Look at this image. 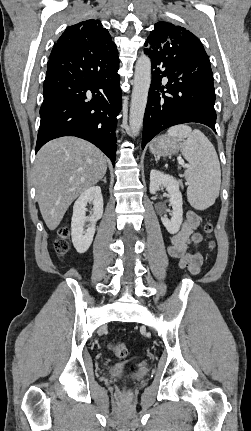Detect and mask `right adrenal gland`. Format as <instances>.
<instances>
[{
	"instance_id": "2a0ac1e0",
	"label": "right adrenal gland",
	"mask_w": 251,
	"mask_h": 431,
	"mask_svg": "<svg viewBox=\"0 0 251 431\" xmlns=\"http://www.w3.org/2000/svg\"><path fill=\"white\" fill-rule=\"evenodd\" d=\"M101 181H103L104 183H107L106 176H104V178Z\"/></svg>"
}]
</instances>
